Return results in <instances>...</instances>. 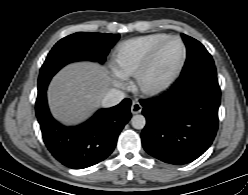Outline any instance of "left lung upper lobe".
Here are the masks:
<instances>
[{
  "instance_id": "left-lung-upper-lobe-1",
  "label": "left lung upper lobe",
  "mask_w": 248,
  "mask_h": 195,
  "mask_svg": "<svg viewBox=\"0 0 248 195\" xmlns=\"http://www.w3.org/2000/svg\"><path fill=\"white\" fill-rule=\"evenodd\" d=\"M187 48V59L182 69L180 80L190 82L201 77H217L212 56L196 39L182 34Z\"/></svg>"
}]
</instances>
